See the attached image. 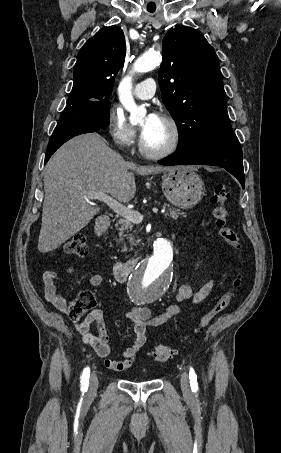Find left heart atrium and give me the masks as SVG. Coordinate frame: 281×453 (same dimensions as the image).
<instances>
[{"mask_svg": "<svg viewBox=\"0 0 281 453\" xmlns=\"http://www.w3.org/2000/svg\"><path fill=\"white\" fill-rule=\"evenodd\" d=\"M159 119L160 118L157 113H155V112L149 113L147 115V117L145 118L143 125L141 126L142 135H144L148 131V129L152 126V124H154Z\"/></svg>", "mask_w": 281, "mask_h": 453, "instance_id": "left-heart-atrium-1", "label": "left heart atrium"}]
</instances>
